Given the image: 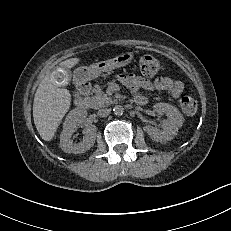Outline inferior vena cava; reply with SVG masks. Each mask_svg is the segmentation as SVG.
Here are the masks:
<instances>
[{
    "label": "inferior vena cava",
    "mask_w": 231,
    "mask_h": 231,
    "mask_svg": "<svg viewBox=\"0 0 231 231\" xmlns=\"http://www.w3.org/2000/svg\"><path fill=\"white\" fill-rule=\"evenodd\" d=\"M110 109H107V108H105V109H100L99 111H98V113H97V115L99 116V117H107L108 115H109V113H110Z\"/></svg>",
    "instance_id": "inferior-vena-cava-1"
}]
</instances>
